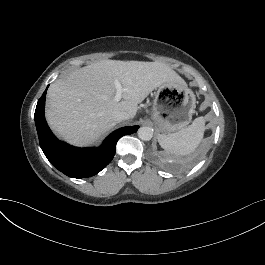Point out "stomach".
<instances>
[{"label": "stomach", "instance_id": "stomach-1", "mask_svg": "<svg viewBox=\"0 0 265 265\" xmlns=\"http://www.w3.org/2000/svg\"><path fill=\"white\" fill-rule=\"evenodd\" d=\"M195 104V95L186 85L164 84L155 92L152 119L161 133L170 134L190 123Z\"/></svg>", "mask_w": 265, "mask_h": 265}]
</instances>
